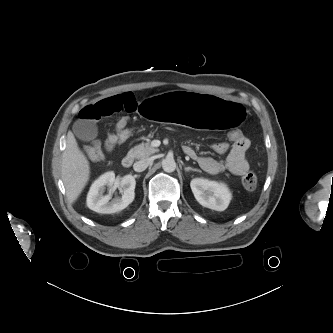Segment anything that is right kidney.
<instances>
[{
    "label": "right kidney",
    "mask_w": 333,
    "mask_h": 333,
    "mask_svg": "<svg viewBox=\"0 0 333 333\" xmlns=\"http://www.w3.org/2000/svg\"><path fill=\"white\" fill-rule=\"evenodd\" d=\"M114 182L115 174L107 172L92 184L87 195V206L89 209L98 213L110 214L125 209L133 202L135 198V178L132 175L122 177L120 181L122 197L111 200L112 189L107 195H103V192L106 185L112 187Z\"/></svg>",
    "instance_id": "1"
}]
</instances>
